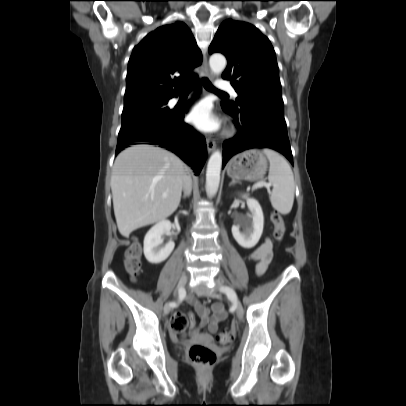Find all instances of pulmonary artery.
Returning a JSON list of instances; mask_svg holds the SVG:
<instances>
[{"label":"pulmonary artery","instance_id":"1","mask_svg":"<svg viewBox=\"0 0 406 406\" xmlns=\"http://www.w3.org/2000/svg\"><path fill=\"white\" fill-rule=\"evenodd\" d=\"M217 87L220 90L229 91L234 97L237 96L236 91L233 89V87L231 86V84L228 80H219L217 83ZM177 101H178V98L173 99L174 103H176Z\"/></svg>","mask_w":406,"mask_h":406}]
</instances>
